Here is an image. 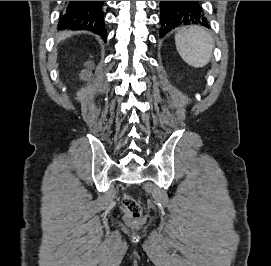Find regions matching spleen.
<instances>
[{
	"instance_id": "spleen-1",
	"label": "spleen",
	"mask_w": 271,
	"mask_h": 266,
	"mask_svg": "<svg viewBox=\"0 0 271 266\" xmlns=\"http://www.w3.org/2000/svg\"><path fill=\"white\" fill-rule=\"evenodd\" d=\"M175 44L181 58L194 68H202L209 63L214 47L211 35L199 26L179 30Z\"/></svg>"
}]
</instances>
